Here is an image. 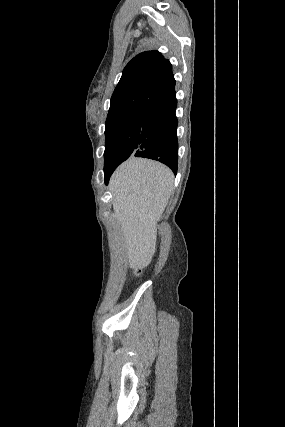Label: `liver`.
Returning <instances> with one entry per match:
<instances>
[{
	"label": "liver",
	"instance_id": "6515ba94",
	"mask_svg": "<svg viewBox=\"0 0 285 427\" xmlns=\"http://www.w3.org/2000/svg\"><path fill=\"white\" fill-rule=\"evenodd\" d=\"M174 175L165 165L131 157L113 173L109 188L121 223L129 264L147 266L154 254L157 222L173 190Z\"/></svg>",
	"mask_w": 285,
	"mask_h": 427
}]
</instances>
